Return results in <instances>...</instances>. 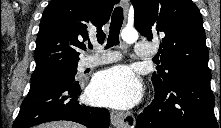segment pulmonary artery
<instances>
[{
	"mask_svg": "<svg viewBox=\"0 0 221 128\" xmlns=\"http://www.w3.org/2000/svg\"><path fill=\"white\" fill-rule=\"evenodd\" d=\"M154 54V46L150 43L140 40L135 44V51L132 53V56L136 59L143 60L151 58ZM116 56V53H111L108 51H104V53L99 56L90 55L81 60L80 68L85 69L88 67H94L110 63L116 59Z\"/></svg>",
	"mask_w": 221,
	"mask_h": 128,
	"instance_id": "e3ab8cb5",
	"label": "pulmonary artery"
}]
</instances>
